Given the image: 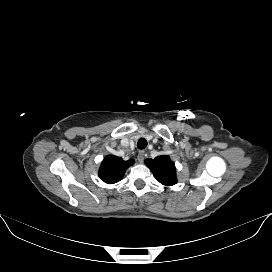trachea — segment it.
I'll use <instances>...</instances> for the list:
<instances>
[{
  "instance_id": "trachea-1",
  "label": "trachea",
  "mask_w": 272,
  "mask_h": 272,
  "mask_svg": "<svg viewBox=\"0 0 272 272\" xmlns=\"http://www.w3.org/2000/svg\"><path fill=\"white\" fill-rule=\"evenodd\" d=\"M147 146V140L144 138H141L138 140L137 147L138 149H144Z\"/></svg>"
}]
</instances>
